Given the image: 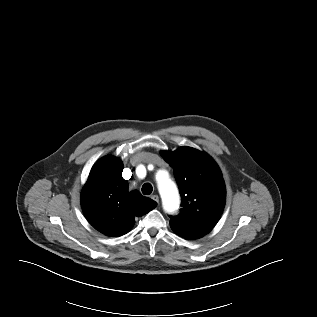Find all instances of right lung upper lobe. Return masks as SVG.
<instances>
[{"mask_svg": "<svg viewBox=\"0 0 317 317\" xmlns=\"http://www.w3.org/2000/svg\"><path fill=\"white\" fill-rule=\"evenodd\" d=\"M122 171L123 163L117 157H103L92 168L81 194L85 217L94 228L108 236L127 233L136 217L147 214L157 205L138 191L128 193Z\"/></svg>", "mask_w": 317, "mask_h": 317, "instance_id": "cb5924a9", "label": "right lung upper lobe"}]
</instances>
